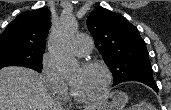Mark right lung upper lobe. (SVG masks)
Listing matches in <instances>:
<instances>
[{"mask_svg":"<svg viewBox=\"0 0 171 110\" xmlns=\"http://www.w3.org/2000/svg\"><path fill=\"white\" fill-rule=\"evenodd\" d=\"M50 10L41 8L19 14L0 34V43H13L34 51L45 50Z\"/></svg>","mask_w":171,"mask_h":110,"instance_id":"obj_1","label":"right lung upper lobe"}]
</instances>
